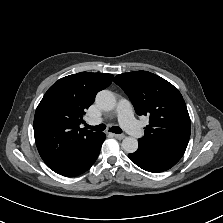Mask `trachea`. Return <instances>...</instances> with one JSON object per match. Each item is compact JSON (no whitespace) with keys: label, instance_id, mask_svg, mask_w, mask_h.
<instances>
[{"label":"trachea","instance_id":"trachea-1","mask_svg":"<svg viewBox=\"0 0 223 223\" xmlns=\"http://www.w3.org/2000/svg\"><path fill=\"white\" fill-rule=\"evenodd\" d=\"M86 128L87 129H92L94 131H98V132H101V131H104L106 129V125L105 124H100V125H97V126H90V125H86ZM109 130L113 133H117V134H121L122 133V130L117 127V126H112L109 128Z\"/></svg>","mask_w":223,"mask_h":223}]
</instances>
